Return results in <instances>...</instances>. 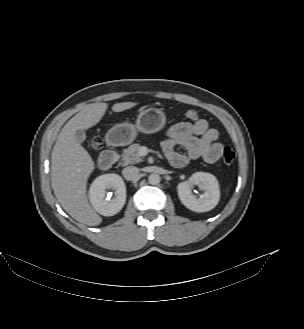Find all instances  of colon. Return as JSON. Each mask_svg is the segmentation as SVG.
<instances>
[{
  "label": "colon",
  "instance_id": "5ec220e1",
  "mask_svg": "<svg viewBox=\"0 0 304 329\" xmlns=\"http://www.w3.org/2000/svg\"><path fill=\"white\" fill-rule=\"evenodd\" d=\"M182 116L188 120H197L199 113L196 109H187L182 112ZM88 144L94 150H98L101 147V141L98 137H91ZM222 159L225 164H231L235 159L234 151L230 147H224L222 151Z\"/></svg>",
  "mask_w": 304,
  "mask_h": 329
}]
</instances>
